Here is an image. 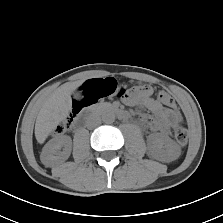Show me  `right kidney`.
Masks as SVG:
<instances>
[{
	"label": "right kidney",
	"mask_w": 223,
	"mask_h": 223,
	"mask_svg": "<svg viewBox=\"0 0 223 223\" xmlns=\"http://www.w3.org/2000/svg\"><path fill=\"white\" fill-rule=\"evenodd\" d=\"M72 149V140L69 136H59L47 143L41 153V160L44 165L52 166L56 162L66 161Z\"/></svg>",
	"instance_id": "1"
}]
</instances>
